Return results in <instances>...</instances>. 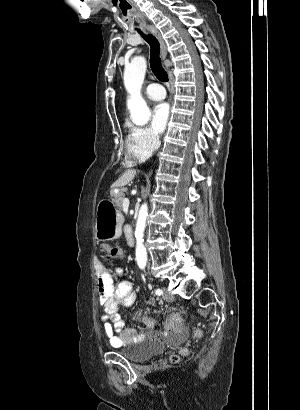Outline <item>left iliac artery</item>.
I'll return each mask as SVG.
<instances>
[{
  "instance_id": "44dca946",
  "label": "left iliac artery",
  "mask_w": 300,
  "mask_h": 410,
  "mask_svg": "<svg viewBox=\"0 0 300 410\" xmlns=\"http://www.w3.org/2000/svg\"><path fill=\"white\" fill-rule=\"evenodd\" d=\"M155 294L160 296L161 294H163V291L158 288V289L155 290Z\"/></svg>"
}]
</instances>
